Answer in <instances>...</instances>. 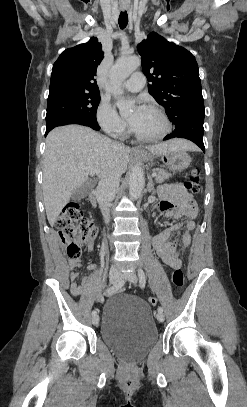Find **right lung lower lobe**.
<instances>
[{
	"label": "right lung lower lobe",
	"mask_w": 247,
	"mask_h": 407,
	"mask_svg": "<svg viewBox=\"0 0 247 407\" xmlns=\"http://www.w3.org/2000/svg\"><path fill=\"white\" fill-rule=\"evenodd\" d=\"M67 124H80L89 126L94 130H99L100 127L98 126L97 122L85 120L82 118H75V117H63L56 120H53L46 124V133L45 136L55 127L67 125Z\"/></svg>",
	"instance_id": "right-lung-lower-lobe-1"
}]
</instances>
